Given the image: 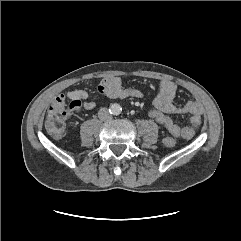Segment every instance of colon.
Returning a JSON list of instances; mask_svg holds the SVG:
<instances>
[{
	"label": "colon",
	"mask_w": 241,
	"mask_h": 241,
	"mask_svg": "<svg viewBox=\"0 0 241 241\" xmlns=\"http://www.w3.org/2000/svg\"><path fill=\"white\" fill-rule=\"evenodd\" d=\"M80 108L81 101L72 100L67 103L64 96L58 97L48 108L45 121L47 131L54 137H61L65 132L67 120ZM148 115L154 122L171 134V136L164 140V144L168 147L175 146L177 138H192L195 135L196 129L201 125V118L192 116L189 127L179 126L168 115L155 107L148 109Z\"/></svg>",
	"instance_id": "1"
}]
</instances>
